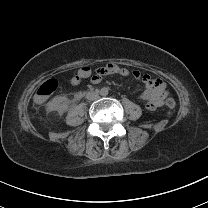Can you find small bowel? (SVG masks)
Here are the masks:
<instances>
[{"mask_svg": "<svg viewBox=\"0 0 208 208\" xmlns=\"http://www.w3.org/2000/svg\"><path fill=\"white\" fill-rule=\"evenodd\" d=\"M95 72L98 74L92 77V81L94 83H99L104 75H129V71L126 68L118 67L116 64H108L104 68H96ZM136 76H140L138 72H136ZM141 78L146 85V91L140 97V101L145 104L147 109L154 110L162 105L163 100L168 94L165 83L159 79L151 77L148 74L142 75Z\"/></svg>", "mask_w": 208, "mask_h": 208, "instance_id": "small-bowel-1", "label": "small bowel"}]
</instances>
